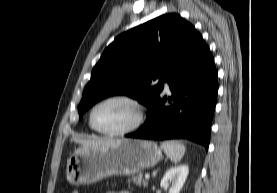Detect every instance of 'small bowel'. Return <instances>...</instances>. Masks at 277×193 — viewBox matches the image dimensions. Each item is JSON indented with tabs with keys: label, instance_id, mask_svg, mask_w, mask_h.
<instances>
[{
	"label": "small bowel",
	"instance_id": "small-bowel-1",
	"mask_svg": "<svg viewBox=\"0 0 277 193\" xmlns=\"http://www.w3.org/2000/svg\"><path fill=\"white\" fill-rule=\"evenodd\" d=\"M107 193H130V192L126 190H120V191H109Z\"/></svg>",
	"mask_w": 277,
	"mask_h": 193
}]
</instances>
